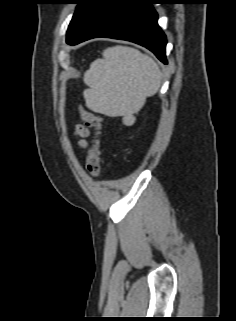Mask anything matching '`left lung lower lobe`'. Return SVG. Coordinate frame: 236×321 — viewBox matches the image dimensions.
I'll use <instances>...</instances> for the list:
<instances>
[{
    "instance_id": "obj_1",
    "label": "left lung lower lobe",
    "mask_w": 236,
    "mask_h": 321,
    "mask_svg": "<svg viewBox=\"0 0 236 321\" xmlns=\"http://www.w3.org/2000/svg\"><path fill=\"white\" fill-rule=\"evenodd\" d=\"M157 0H94L79 29L67 43L107 37L128 40L151 50L166 61V36L158 26L152 4Z\"/></svg>"
}]
</instances>
